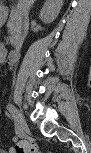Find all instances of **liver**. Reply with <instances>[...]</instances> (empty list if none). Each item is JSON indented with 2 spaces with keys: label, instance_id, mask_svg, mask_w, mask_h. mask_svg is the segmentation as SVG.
I'll use <instances>...</instances> for the list:
<instances>
[{
  "label": "liver",
  "instance_id": "1",
  "mask_svg": "<svg viewBox=\"0 0 91 153\" xmlns=\"http://www.w3.org/2000/svg\"><path fill=\"white\" fill-rule=\"evenodd\" d=\"M52 3L56 4V5H60L62 6V0H51ZM35 2V0H21L20 1V5H23L26 9L30 8L31 5H33V3Z\"/></svg>",
  "mask_w": 91,
  "mask_h": 153
}]
</instances>
